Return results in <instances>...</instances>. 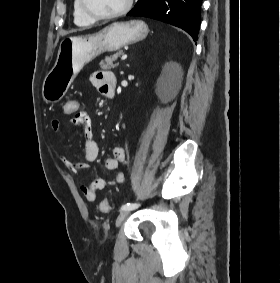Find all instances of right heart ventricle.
<instances>
[{
	"label": "right heart ventricle",
	"mask_w": 280,
	"mask_h": 283,
	"mask_svg": "<svg viewBox=\"0 0 280 283\" xmlns=\"http://www.w3.org/2000/svg\"><path fill=\"white\" fill-rule=\"evenodd\" d=\"M73 20L77 26H89L94 23V20L87 17L83 12L80 0L73 1Z\"/></svg>",
	"instance_id": "e07e8e85"
}]
</instances>
